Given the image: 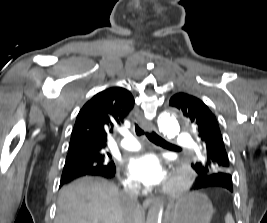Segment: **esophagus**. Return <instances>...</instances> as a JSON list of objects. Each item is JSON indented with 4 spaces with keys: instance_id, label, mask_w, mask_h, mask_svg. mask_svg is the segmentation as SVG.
Returning <instances> with one entry per match:
<instances>
[{
    "instance_id": "esophagus-1",
    "label": "esophagus",
    "mask_w": 267,
    "mask_h": 223,
    "mask_svg": "<svg viewBox=\"0 0 267 223\" xmlns=\"http://www.w3.org/2000/svg\"><path fill=\"white\" fill-rule=\"evenodd\" d=\"M140 125L141 127L146 130V131H153V132H156V128L147 120L145 119H140ZM153 202H155V199L150 197V198H147L143 201V206L144 207H149Z\"/></svg>"
}]
</instances>
